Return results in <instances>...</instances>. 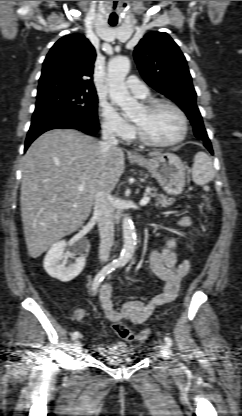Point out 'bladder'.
Returning a JSON list of instances; mask_svg holds the SVG:
<instances>
[{
    "instance_id": "1",
    "label": "bladder",
    "mask_w": 242,
    "mask_h": 416,
    "mask_svg": "<svg viewBox=\"0 0 242 416\" xmlns=\"http://www.w3.org/2000/svg\"><path fill=\"white\" fill-rule=\"evenodd\" d=\"M132 355L130 348L123 345L118 351L108 354L106 362L115 366L128 364L132 361Z\"/></svg>"
}]
</instances>
